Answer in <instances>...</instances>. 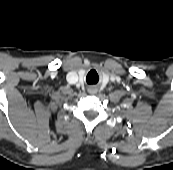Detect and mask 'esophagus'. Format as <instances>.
<instances>
[{
  "label": "esophagus",
  "instance_id": "1",
  "mask_svg": "<svg viewBox=\"0 0 173 170\" xmlns=\"http://www.w3.org/2000/svg\"><path fill=\"white\" fill-rule=\"evenodd\" d=\"M95 92H96V91L93 92V91H91V89H89V93L93 94V93H95Z\"/></svg>",
  "mask_w": 173,
  "mask_h": 170
}]
</instances>
